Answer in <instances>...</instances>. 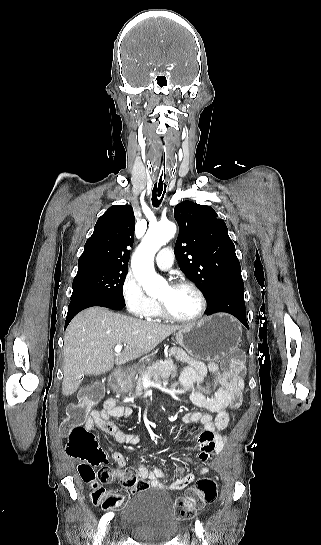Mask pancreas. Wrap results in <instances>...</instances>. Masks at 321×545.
<instances>
[{
    "instance_id": "cf45deb5",
    "label": "pancreas",
    "mask_w": 321,
    "mask_h": 545,
    "mask_svg": "<svg viewBox=\"0 0 321 545\" xmlns=\"http://www.w3.org/2000/svg\"><path fill=\"white\" fill-rule=\"evenodd\" d=\"M126 369L123 371L124 375H129V377H134L136 371H139V377L136 381L135 393H141L144 387V377H147L149 383H162L165 379L169 377H177V365H174L172 361H161V363H148L147 367H141V369Z\"/></svg>"
}]
</instances>
